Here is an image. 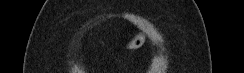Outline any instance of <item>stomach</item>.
<instances>
[{
	"instance_id": "1",
	"label": "stomach",
	"mask_w": 244,
	"mask_h": 73,
	"mask_svg": "<svg viewBox=\"0 0 244 73\" xmlns=\"http://www.w3.org/2000/svg\"><path fill=\"white\" fill-rule=\"evenodd\" d=\"M146 37L143 33H138L133 39L126 45L127 49L135 50L140 48L145 43Z\"/></svg>"
}]
</instances>
